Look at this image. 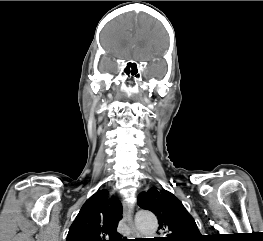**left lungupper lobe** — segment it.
<instances>
[{
  "instance_id": "5c2ea615",
  "label": "left lung upper lobe",
  "mask_w": 263,
  "mask_h": 241,
  "mask_svg": "<svg viewBox=\"0 0 263 241\" xmlns=\"http://www.w3.org/2000/svg\"><path fill=\"white\" fill-rule=\"evenodd\" d=\"M138 205L153 212L158 217L159 229L167 234V237L156 240L203 241L193 217L182 202L169 191L152 187L139 194Z\"/></svg>"
}]
</instances>
